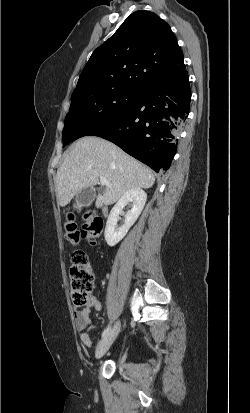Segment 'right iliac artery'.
<instances>
[{
  "label": "right iliac artery",
  "instance_id": "1",
  "mask_svg": "<svg viewBox=\"0 0 250 413\" xmlns=\"http://www.w3.org/2000/svg\"><path fill=\"white\" fill-rule=\"evenodd\" d=\"M110 328H111V324H109V325L106 327V329L103 331V333H102V338H104V337L108 334V332L110 331Z\"/></svg>",
  "mask_w": 250,
  "mask_h": 413
}]
</instances>
